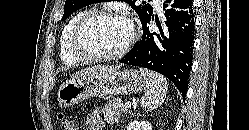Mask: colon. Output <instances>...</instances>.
<instances>
[{"label":"colon","instance_id":"5ec220e1","mask_svg":"<svg viewBox=\"0 0 249 130\" xmlns=\"http://www.w3.org/2000/svg\"><path fill=\"white\" fill-rule=\"evenodd\" d=\"M59 122L61 130H80L72 119L63 114L59 115Z\"/></svg>","mask_w":249,"mask_h":130}]
</instances>
